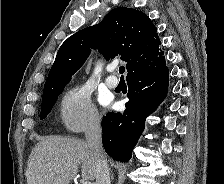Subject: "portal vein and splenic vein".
Here are the masks:
<instances>
[{"label": "portal vein and splenic vein", "instance_id": "portal-vein-and-splenic-vein-1", "mask_svg": "<svg viewBox=\"0 0 224 184\" xmlns=\"http://www.w3.org/2000/svg\"><path fill=\"white\" fill-rule=\"evenodd\" d=\"M84 184H92L91 182H89V181H86V182H84Z\"/></svg>", "mask_w": 224, "mask_h": 184}]
</instances>
